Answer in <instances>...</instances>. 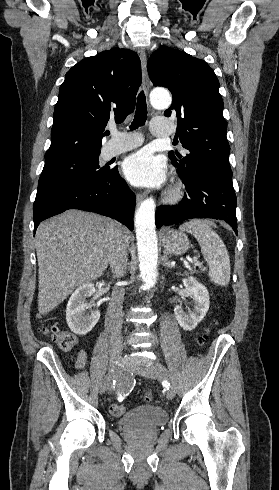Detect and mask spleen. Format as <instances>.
I'll list each match as a JSON object with an SVG mask.
<instances>
[{
  "label": "spleen",
  "mask_w": 279,
  "mask_h": 490,
  "mask_svg": "<svg viewBox=\"0 0 279 490\" xmlns=\"http://www.w3.org/2000/svg\"><path fill=\"white\" fill-rule=\"evenodd\" d=\"M211 222L204 220H191L182 224L179 230H185L193 234L198 244L205 262L209 266V276L212 282L226 288L230 282L231 264L228 250L216 232H213Z\"/></svg>",
  "instance_id": "3e777b00"
}]
</instances>
